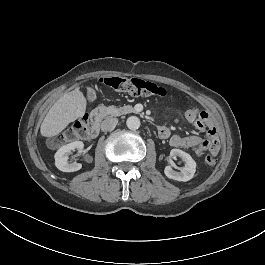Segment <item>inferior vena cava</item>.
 <instances>
[{
	"instance_id": "1",
	"label": "inferior vena cava",
	"mask_w": 265,
	"mask_h": 265,
	"mask_svg": "<svg viewBox=\"0 0 265 265\" xmlns=\"http://www.w3.org/2000/svg\"><path fill=\"white\" fill-rule=\"evenodd\" d=\"M117 124H118L117 118H107L101 123L100 128L103 132H107L109 130L114 129Z\"/></svg>"
}]
</instances>
